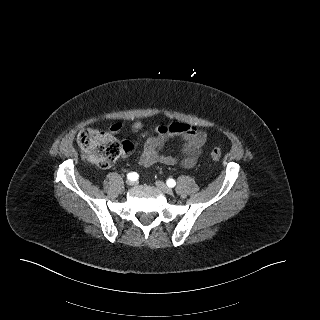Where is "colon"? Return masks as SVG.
Listing matches in <instances>:
<instances>
[{
	"label": "colon",
	"mask_w": 320,
	"mask_h": 320,
	"mask_svg": "<svg viewBox=\"0 0 320 320\" xmlns=\"http://www.w3.org/2000/svg\"><path fill=\"white\" fill-rule=\"evenodd\" d=\"M77 141L87 157L101 168L112 165L122 150H131V146L120 144L112 134L100 130H82ZM210 155L216 162L220 161L222 156L219 148H213Z\"/></svg>",
	"instance_id": "obj_1"
}]
</instances>
